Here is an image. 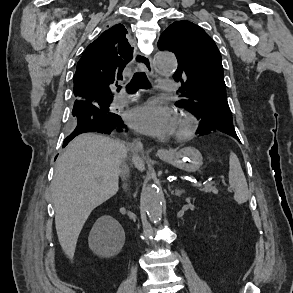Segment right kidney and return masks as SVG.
I'll use <instances>...</instances> for the list:
<instances>
[{"label": "right kidney", "instance_id": "right-kidney-1", "mask_svg": "<svg viewBox=\"0 0 293 293\" xmlns=\"http://www.w3.org/2000/svg\"><path fill=\"white\" fill-rule=\"evenodd\" d=\"M108 220L113 222L117 226V231L113 227H109L108 235L102 242L103 250L109 255H115L120 252L125 241V234L119 223L112 217H108Z\"/></svg>", "mask_w": 293, "mask_h": 293}]
</instances>
